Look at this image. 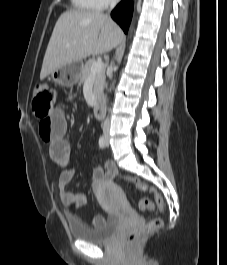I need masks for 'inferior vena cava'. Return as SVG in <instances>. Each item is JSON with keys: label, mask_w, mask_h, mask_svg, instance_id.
<instances>
[{"label": "inferior vena cava", "mask_w": 227, "mask_h": 265, "mask_svg": "<svg viewBox=\"0 0 227 265\" xmlns=\"http://www.w3.org/2000/svg\"><path fill=\"white\" fill-rule=\"evenodd\" d=\"M119 0H110V11L117 5ZM108 17V15H106ZM110 127V120L106 118L103 123V130L108 131Z\"/></svg>", "instance_id": "1"}]
</instances>
